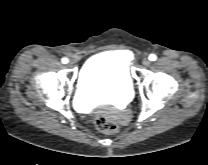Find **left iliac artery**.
<instances>
[{"instance_id": "left-iliac-artery-1", "label": "left iliac artery", "mask_w": 208, "mask_h": 165, "mask_svg": "<svg viewBox=\"0 0 208 165\" xmlns=\"http://www.w3.org/2000/svg\"><path fill=\"white\" fill-rule=\"evenodd\" d=\"M156 59H157V57H156L155 54H151V55L149 56V60H150V61H155Z\"/></svg>"}]
</instances>
